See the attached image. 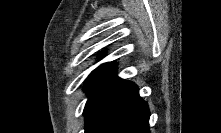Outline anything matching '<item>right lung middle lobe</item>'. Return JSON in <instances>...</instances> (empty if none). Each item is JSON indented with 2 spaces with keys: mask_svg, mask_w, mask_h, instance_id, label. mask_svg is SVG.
Here are the masks:
<instances>
[{
  "mask_svg": "<svg viewBox=\"0 0 221 133\" xmlns=\"http://www.w3.org/2000/svg\"><path fill=\"white\" fill-rule=\"evenodd\" d=\"M98 75H89V77L87 78V81L84 84V90L87 91V93H89L93 83L95 82V80L98 78Z\"/></svg>",
  "mask_w": 221,
  "mask_h": 133,
  "instance_id": "obj_1",
  "label": "right lung middle lobe"
}]
</instances>
